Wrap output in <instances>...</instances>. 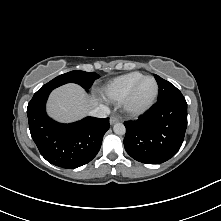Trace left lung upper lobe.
I'll list each match as a JSON object with an SVG mask.
<instances>
[{
  "label": "left lung upper lobe",
  "mask_w": 221,
  "mask_h": 221,
  "mask_svg": "<svg viewBox=\"0 0 221 221\" xmlns=\"http://www.w3.org/2000/svg\"><path fill=\"white\" fill-rule=\"evenodd\" d=\"M158 86H159V95L158 101L165 100L172 97L183 96L182 93L170 82L162 79L158 75H154Z\"/></svg>",
  "instance_id": "5c2ea615"
}]
</instances>
